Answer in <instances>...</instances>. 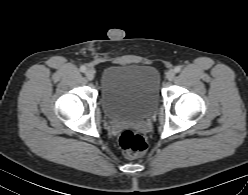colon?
Returning a JSON list of instances; mask_svg holds the SVG:
<instances>
[{
	"label": "colon",
	"mask_w": 248,
	"mask_h": 195,
	"mask_svg": "<svg viewBox=\"0 0 248 195\" xmlns=\"http://www.w3.org/2000/svg\"><path fill=\"white\" fill-rule=\"evenodd\" d=\"M120 148L129 157L142 154L147 147L145 138L133 129L124 130L118 139Z\"/></svg>",
	"instance_id": "colon-1"
}]
</instances>
